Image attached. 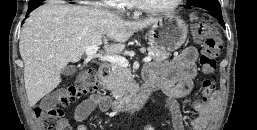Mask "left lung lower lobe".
<instances>
[{
    "label": "left lung lower lobe",
    "mask_w": 257,
    "mask_h": 130,
    "mask_svg": "<svg viewBox=\"0 0 257 130\" xmlns=\"http://www.w3.org/2000/svg\"><path fill=\"white\" fill-rule=\"evenodd\" d=\"M206 10H208L212 16L218 18L221 21L222 25L225 27L221 14V7H211L207 8Z\"/></svg>",
    "instance_id": "left-lung-lower-lobe-1"
}]
</instances>
